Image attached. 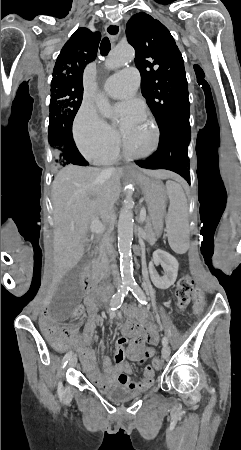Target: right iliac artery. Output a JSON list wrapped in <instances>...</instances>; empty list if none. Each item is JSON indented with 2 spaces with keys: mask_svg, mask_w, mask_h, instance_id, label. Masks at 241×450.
<instances>
[{
  "mask_svg": "<svg viewBox=\"0 0 241 450\" xmlns=\"http://www.w3.org/2000/svg\"><path fill=\"white\" fill-rule=\"evenodd\" d=\"M129 290H130L129 286H123L113 295V297L111 299V303H110L111 310L114 311V310L118 309L121 306V304H122V302L124 300V297L128 294ZM71 357H72V351L68 352L65 355V357H64L65 358L64 366L67 363V360H69ZM57 391H58L59 395L63 394L64 391H63L62 382H59Z\"/></svg>",
  "mask_w": 241,
  "mask_h": 450,
  "instance_id": "1",
  "label": "right iliac artery"
}]
</instances>
